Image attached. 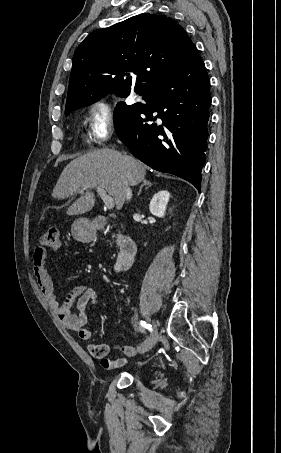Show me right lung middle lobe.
I'll return each instance as SVG.
<instances>
[{
  "mask_svg": "<svg viewBox=\"0 0 281 453\" xmlns=\"http://www.w3.org/2000/svg\"><path fill=\"white\" fill-rule=\"evenodd\" d=\"M69 114H70V112H66V113H65L66 116L69 115Z\"/></svg>",
  "mask_w": 281,
  "mask_h": 453,
  "instance_id": "right-lung-middle-lobe-1",
  "label": "right lung middle lobe"
}]
</instances>
